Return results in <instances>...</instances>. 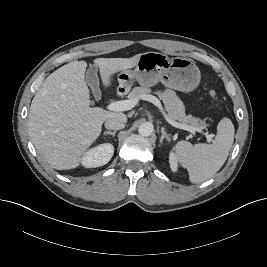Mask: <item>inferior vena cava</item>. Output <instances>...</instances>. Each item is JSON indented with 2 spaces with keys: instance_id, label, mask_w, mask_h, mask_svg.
I'll list each match as a JSON object with an SVG mask.
<instances>
[{
  "instance_id": "obj_1",
  "label": "inferior vena cava",
  "mask_w": 267,
  "mask_h": 267,
  "mask_svg": "<svg viewBox=\"0 0 267 267\" xmlns=\"http://www.w3.org/2000/svg\"><path fill=\"white\" fill-rule=\"evenodd\" d=\"M125 120L120 118H109L105 121V128L109 130H119L125 127Z\"/></svg>"
}]
</instances>
